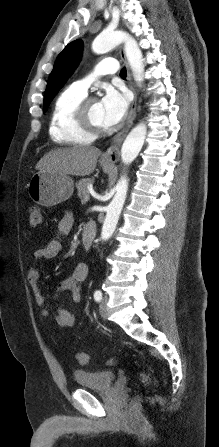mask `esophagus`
Returning <instances> with one entry per match:
<instances>
[{
  "label": "esophagus",
  "instance_id": "1",
  "mask_svg": "<svg viewBox=\"0 0 219 447\" xmlns=\"http://www.w3.org/2000/svg\"><path fill=\"white\" fill-rule=\"evenodd\" d=\"M120 56H121V59L124 61L125 65H126V68H127V78H128L129 84H130V88L134 92V96L135 97H134V101H133V103L131 105V109H130V112H129V115H128V118H127L125 126L123 127V129L119 133H117L114 136L111 145L103 153V156H102L103 160L108 162V163H111V164L115 163L119 159V156H120V151H119L120 145H121L122 141L124 140L126 134L128 133L129 129L131 128V126L133 124V121H134V119L136 117L137 96H136V92H135V89H134L132 81H131V73H130V69H129V66H128V62L126 60V56H125V52H124L123 46L120 47Z\"/></svg>",
  "mask_w": 219,
  "mask_h": 447
}]
</instances>
